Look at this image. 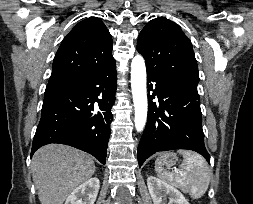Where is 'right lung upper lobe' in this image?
<instances>
[{
	"mask_svg": "<svg viewBox=\"0 0 253 204\" xmlns=\"http://www.w3.org/2000/svg\"><path fill=\"white\" fill-rule=\"evenodd\" d=\"M112 37L96 17L79 22L63 39L48 83L67 82L115 64Z\"/></svg>",
	"mask_w": 253,
	"mask_h": 204,
	"instance_id": "obj_1",
	"label": "right lung upper lobe"
}]
</instances>
